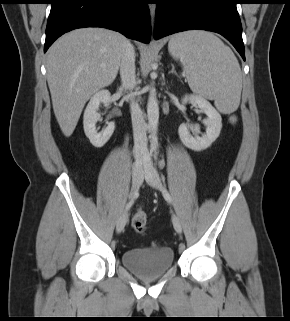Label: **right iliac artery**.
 <instances>
[{
    "label": "right iliac artery",
    "instance_id": "82829eb1",
    "mask_svg": "<svg viewBox=\"0 0 290 321\" xmlns=\"http://www.w3.org/2000/svg\"><path fill=\"white\" fill-rule=\"evenodd\" d=\"M137 195H138V193L136 192L134 198H133V199L129 202V204L127 205V209H129V208L133 205L134 199L137 197Z\"/></svg>",
    "mask_w": 290,
    "mask_h": 321
}]
</instances>
